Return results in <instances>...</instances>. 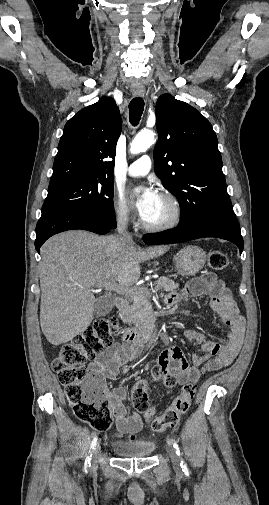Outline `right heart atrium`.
<instances>
[{"label":"right heart atrium","mask_w":269,"mask_h":505,"mask_svg":"<svg viewBox=\"0 0 269 505\" xmlns=\"http://www.w3.org/2000/svg\"><path fill=\"white\" fill-rule=\"evenodd\" d=\"M114 216L118 223L128 226L133 223L134 216L130 206L121 194H116L112 202Z\"/></svg>","instance_id":"obj_1"}]
</instances>
